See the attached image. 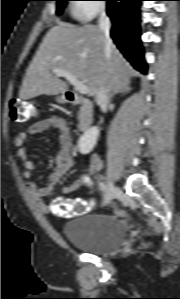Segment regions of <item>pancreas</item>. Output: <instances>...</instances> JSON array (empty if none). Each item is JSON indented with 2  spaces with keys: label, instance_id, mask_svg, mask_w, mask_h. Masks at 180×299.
I'll return each instance as SVG.
<instances>
[{
  "label": "pancreas",
  "instance_id": "obj_1",
  "mask_svg": "<svg viewBox=\"0 0 180 299\" xmlns=\"http://www.w3.org/2000/svg\"><path fill=\"white\" fill-rule=\"evenodd\" d=\"M78 118H79V119L81 118V113L79 114Z\"/></svg>",
  "mask_w": 180,
  "mask_h": 299
}]
</instances>
